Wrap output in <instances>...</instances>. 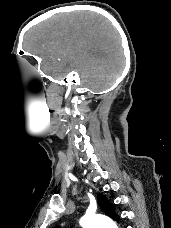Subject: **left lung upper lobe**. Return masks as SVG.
Segmentation results:
<instances>
[{
    "label": "left lung upper lobe",
    "instance_id": "5c2ea615",
    "mask_svg": "<svg viewBox=\"0 0 171 228\" xmlns=\"http://www.w3.org/2000/svg\"><path fill=\"white\" fill-rule=\"evenodd\" d=\"M98 203L100 208L112 219L119 220V216L115 213L112 203L102 194L98 195ZM58 228V227H55Z\"/></svg>",
    "mask_w": 171,
    "mask_h": 228
}]
</instances>
